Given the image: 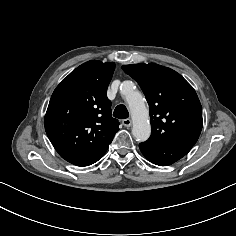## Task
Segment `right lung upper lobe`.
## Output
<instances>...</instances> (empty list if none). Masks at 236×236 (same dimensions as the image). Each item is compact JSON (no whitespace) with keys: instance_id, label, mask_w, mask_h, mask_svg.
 Wrapping results in <instances>:
<instances>
[{"instance_id":"right-lung-upper-lobe-1","label":"right lung upper lobe","mask_w":236,"mask_h":236,"mask_svg":"<svg viewBox=\"0 0 236 236\" xmlns=\"http://www.w3.org/2000/svg\"><path fill=\"white\" fill-rule=\"evenodd\" d=\"M114 69V63L88 61L54 90L45 115V131L60 155L93 157L108 149L119 130L106 95Z\"/></svg>"}]
</instances>
